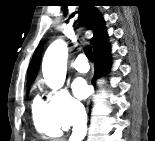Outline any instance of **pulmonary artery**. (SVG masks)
Masks as SVG:
<instances>
[{
	"label": "pulmonary artery",
	"instance_id": "1",
	"mask_svg": "<svg viewBox=\"0 0 155 141\" xmlns=\"http://www.w3.org/2000/svg\"><path fill=\"white\" fill-rule=\"evenodd\" d=\"M74 68L80 73H86L89 70L87 58L84 54H80L74 61Z\"/></svg>",
	"mask_w": 155,
	"mask_h": 141
}]
</instances>
